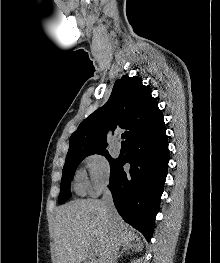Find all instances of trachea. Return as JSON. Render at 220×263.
I'll list each match as a JSON object with an SVG mask.
<instances>
[{
  "mask_svg": "<svg viewBox=\"0 0 220 263\" xmlns=\"http://www.w3.org/2000/svg\"><path fill=\"white\" fill-rule=\"evenodd\" d=\"M121 138H122V139H124V138H125V135H124V134H122V135H121ZM123 142H124V141H123Z\"/></svg>",
  "mask_w": 220,
  "mask_h": 263,
  "instance_id": "3493384b",
  "label": "trachea"
}]
</instances>
